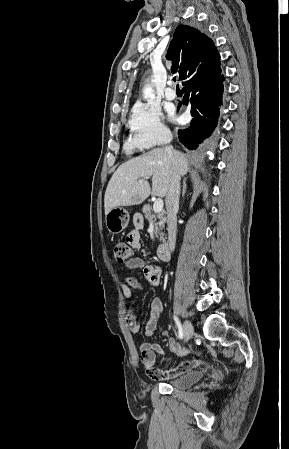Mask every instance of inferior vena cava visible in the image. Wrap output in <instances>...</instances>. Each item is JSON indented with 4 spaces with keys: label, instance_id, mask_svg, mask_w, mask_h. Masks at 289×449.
<instances>
[{
    "label": "inferior vena cava",
    "instance_id": "602c4592",
    "mask_svg": "<svg viewBox=\"0 0 289 449\" xmlns=\"http://www.w3.org/2000/svg\"><path fill=\"white\" fill-rule=\"evenodd\" d=\"M172 141V135H168L163 144L167 145ZM165 149L171 153L172 148L166 146ZM179 196H180V176L175 169H172L170 176L169 190L166 195L165 203L167 210V230H168V243L171 251L175 248L176 243V229H177V212L179 209Z\"/></svg>",
    "mask_w": 289,
    "mask_h": 449
}]
</instances>
